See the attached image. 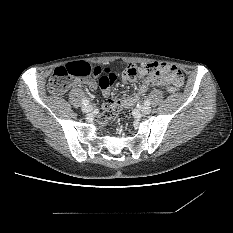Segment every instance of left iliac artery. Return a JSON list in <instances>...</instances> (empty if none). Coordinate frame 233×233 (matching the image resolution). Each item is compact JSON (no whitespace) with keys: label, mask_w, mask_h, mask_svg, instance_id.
Listing matches in <instances>:
<instances>
[{"label":"left iliac artery","mask_w":233,"mask_h":233,"mask_svg":"<svg viewBox=\"0 0 233 233\" xmlns=\"http://www.w3.org/2000/svg\"><path fill=\"white\" fill-rule=\"evenodd\" d=\"M144 104L147 105V106H149L151 103H150L149 100H145V101H144Z\"/></svg>","instance_id":"obj_1"}]
</instances>
